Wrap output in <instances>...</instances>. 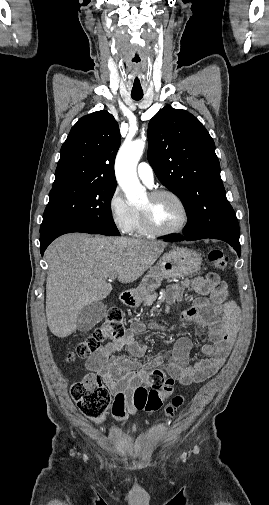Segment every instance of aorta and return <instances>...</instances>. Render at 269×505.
Instances as JSON below:
<instances>
[{"mask_svg": "<svg viewBox=\"0 0 269 505\" xmlns=\"http://www.w3.org/2000/svg\"><path fill=\"white\" fill-rule=\"evenodd\" d=\"M145 148L144 139L125 143L116 158V179L127 200L136 204L146 199V189L139 182L136 167Z\"/></svg>", "mask_w": 269, "mask_h": 505, "instance_id": "obj_1", "label": "aorta"}]
</instances>
